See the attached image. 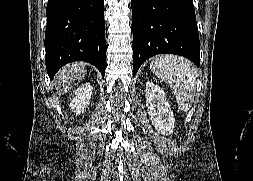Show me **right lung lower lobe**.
<instances>
[{"instance_id": "98d812e1", "label": "right lung lower lobe", "mask_w": 253, "mask_h": 181, "mask_svg": "<svg viewBox=\"0 0 253 181\" xmlns=\"http://www.w3.org/2000/svg\"><path fill=\"white\" fill-rule=\"evenodd\" d=\"M104 0H49L45 32L49 77L65 64L85 61L105 75Z\"/></svg>"}]
</instances>
